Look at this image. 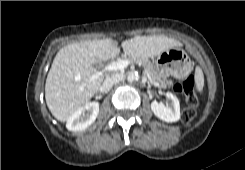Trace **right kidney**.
I'll use <instances>...</instances> for the list:
<instances>
[{"mask_svg": "<svg viewBox=\"0 0 245 170\" xmlns=\"http://www.w3.org/2000/svg\"><path fill=\"white\" fill-rule=\"evenodd\" d=\"M99 113L98 102H88L75 110L68 118L66 127L69 131H82L88 128Z\"/></svg>", "mask_w": 245, "mask_h": 170, "instance_id": "ca27d5eb", "label": "right kidney"}]
</instances>
